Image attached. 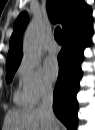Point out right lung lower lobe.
I'll return each mask as SVG.
<instances>
[{
    "mask_svg": "<svg viewBox=\"0 0 95 130\" xmlns=\"http://www.w3.org/2000/svg\"><path fill=\"white\" fill-rule=\"evenodd\" d=\"M92 32V27L88 26L77 34L65 37L58 55L59 76L54 89L53 110L56 116L72 130H75L77 125L76 94L82 76L83 49L90 44L89 38Z\"/></svg>",
    "mask_w": 95,
    "mask_h": 130,
    "instance_id": "obj_1",
    "label": "right lung lower lobe"
}]
</instances>
